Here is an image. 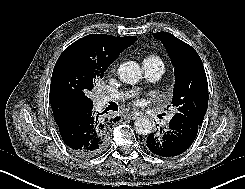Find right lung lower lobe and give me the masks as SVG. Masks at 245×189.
Returning <instances> with one entry per match:
<instances>
[{"label":"right lung lower lobe","instance_id":"98d812e1","mask_svg":"<svg viewBox=\"0 0 245 189\" xmlns=\"http://www.w3.org/2000/svg\"><path fill=\"white\" fill-rule=\"evenodd\" d=\"M92 109L93 105L57 122L65 144L80 154L101 151L107 143L113 123L120 119H101L100 114L95 115Z\"/></svg>","mask_w":245,"mask_h":189}]
</instances>
